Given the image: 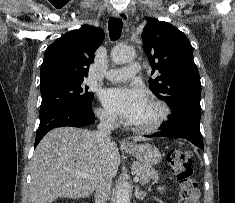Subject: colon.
Returning <instances> with one entry per match:
<instances>
[{
  "mask_svg": "<svg viewBox=\"0 0 235 203\" xmlns=\"http://www.w3.org/2000/svg\"><path fill=\"white\" fill-rule=\"evenodd\" d=\"M172 173L180 186V203H199L200 191L193 178L191 153L187 150L173 149L168 154Z\"/></svg>",
  "mask_w": 235,
  "mask_h": 203,
  "instance_id": "colon-1",
  "label": "colon"
}]
</instances>
